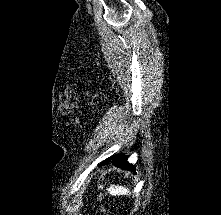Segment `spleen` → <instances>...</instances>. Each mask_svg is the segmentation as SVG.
Returning <instances> with one entry per match:
<instances>
[{"label":"spleen","instance_id":"obj_1","mask_svg":"<svg viewBox=\"0 0 221 215\" xmlns=\"http://www.w3.org/2000/svg\"><path fill=\"white\" fill-rule=\"evenodd\" d=\"M108 192L113 195H124V194H128L129 190L124 187V186H111L110 188H108Z\"/></svg>","mask_w":221,"mask_h":215}]
</instances>
